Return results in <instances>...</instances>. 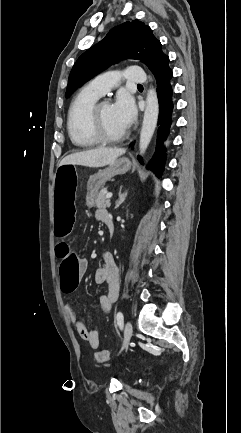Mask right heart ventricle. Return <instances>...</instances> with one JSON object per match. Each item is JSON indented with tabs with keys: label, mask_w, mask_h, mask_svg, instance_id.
<instances>
[{
	"label": "right heart ventricle",
	"mask_w": 241,
	"mask_h": 433,
	"mask_svg": "<svg viewBox=\"0 0 241 433\" xmlns=\"http://www.w3.org/2000/svg\"><path fill=\"white\" fill-rule=\"evenodd\" d=\"M99 96L84 87L76 95L68 112V133L71 142L78 148H91L98 144L89 128L91 109Z\"/></svg>",
	"instance_id": "right-heart-ventricle-1"
}]
</instances>
